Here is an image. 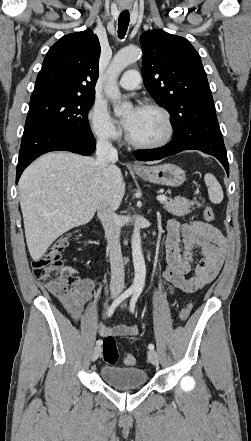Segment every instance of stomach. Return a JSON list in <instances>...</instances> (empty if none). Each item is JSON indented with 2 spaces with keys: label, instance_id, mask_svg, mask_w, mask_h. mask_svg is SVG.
Masks as SVG:
<instances>
[{
  "label": "stomach",
  "instance_id": "1",
  "mask_svg": "<svg viewBox=\"0 0 251 441\" xmlns=\"http://www.w3.org/2000/svg\"><path fill=\"white\" fill-rule=\"evenodd\" d=\"M135 173L150 183L178 187L186 180L185 171L175 164H162L135 169Z\"/></svg>",
  "mask_w": 251,
  "mask_h": 441
}]
</instances>
